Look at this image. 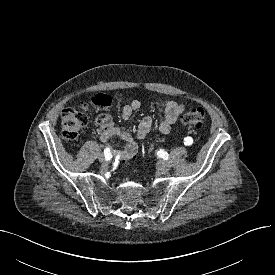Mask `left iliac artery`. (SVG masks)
Here are the masks:
<instances>
[{"mask_svg": "<svg viewBox=\"0 0 275 275\" xmlns=\"http://www.w3.org/2000/svg\"><path fill=\"white\" fill-rule=\"evenodd\" d=\"M193 144V139L192 137L188 136L184 138V145L186 146H191Z\"/></svg>", "mask_w": 275, "mask_h": 275, "instance_id": "left-iliac-artery-1", "label": "left iliac artery"}]
</instances>
